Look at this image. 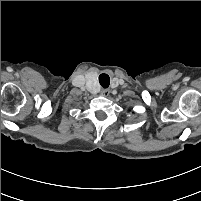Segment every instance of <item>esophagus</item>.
Returning a JSON list of instances; mask_svg holds the SVG:
<instances>
[{
	"instance_id": "esophagus-1",
	"label": "esophagus",
	"mask_w": 201,
	"mask_h": 201,
	"mask_svg": "<svg viewBox=\"0 0 201 201\" xmlns=\"http://www.w3.org/2000/svg\"><path fill=\"white\" fill-rule=\"evenodd\" d=\"M109 94V90H107V89H103L102 91H101V95L102 96H107Z\"/></svg>"
}]
</instances>
